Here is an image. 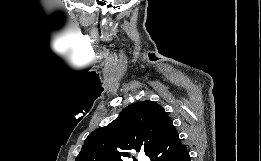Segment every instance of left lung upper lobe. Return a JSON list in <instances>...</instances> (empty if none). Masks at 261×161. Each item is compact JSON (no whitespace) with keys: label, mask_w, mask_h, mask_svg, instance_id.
Returning <instances> with one entry per match:
<instances>
[{"label":"left lung upper lobe","mask_w":261,"mask_h":161,"mask_svg":"<svg viewBox=\"0 0 261 161\" xmlns=\"http://www.w3.org/2000/svg\"><path fill=\"white\" fill-rule=\"evenodd\" d=\"M174 131L162 106L150 100L139 101L129 105L109 125L94 130L75 161H123L132 150H143L149 156Z\"/></svg>","instance_id":"1"}]
</instances>
